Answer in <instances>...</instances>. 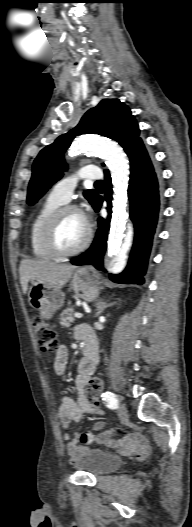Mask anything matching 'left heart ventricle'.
I'll use <instances>...</instances> for the list:
<instances>
[{"label": "left heart ventricle", "mask_w": 192, "mask_h": 527, "mask_svg": "<svg viewBox=\"0 0 192 527\" xmlns=\"http://www.w3.org/2000/svg\"><path fill=\"white\" fill-rule=\"evenodd\" d=\"M86 234L84 218L74 212L65 214L59 222L56 242L61 249L70 250L78 246Z\"/></svg>", "instance_id": "obj_1"}]
</instances>
